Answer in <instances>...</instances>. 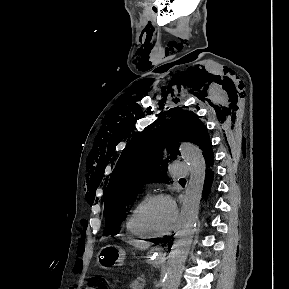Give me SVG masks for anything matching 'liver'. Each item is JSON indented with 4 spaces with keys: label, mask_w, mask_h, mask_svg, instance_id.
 Returning a JSON list of instances; mask_svg holds the SVG:
<instances>
[{
    "label": "liver",
    "mask_w": 289,
    "mask_h": 289,
    "mask_svg": "<svg viewBox=\"0 0 289 289\" xmlns=\"http://www.w3.org/2000/svg\"><path fill=\"white\" fill-rule=\"evenodd\" d=\"M128 242H129V244H131V245H133V246H135V247H137V248H143V249H145V248L148 247V244H147V243L142 242V241H139V240H129Z\"/></svg>",
    "instance_id": "liver-1"
}]
</instances>
